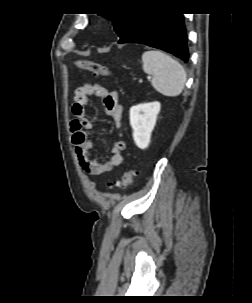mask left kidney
Listing matches in <instances>:
<instances>
[{"label":"left kidney","mask_w":252,"mask_h":303,"mask_svg":"<svg viewBox=\"0 0 252 303\" xmlns=\"http://www.w3.org/2000/svg\"><path fill=\"white\" fill-rule=\"evenodd\" d=\"M161 104L157 101L142 103L130 108V125L133 139L138 148L144 150L149 146L151 133L156 124Z\"/></svg>","instance_id":"left-kidney-1"}]
</instances>
